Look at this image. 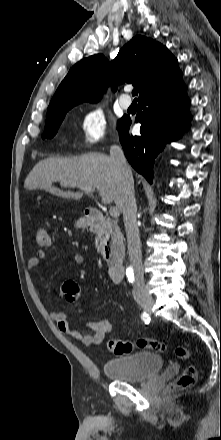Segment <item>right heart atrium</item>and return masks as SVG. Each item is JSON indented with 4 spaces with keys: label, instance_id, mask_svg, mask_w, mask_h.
I'll list each match as a JSON object with an SVG mask.
<instances>
[{
    "label": "right heart atrium",
    "instance_id": "obj_1",
    "mask_svg": "<svg viewBox=\"0 0 221 440\" xmlns=\"http://www.w3.org/2000/svg\"><path fill=\"white\" fill-rule=\"evenodd\" d=\"M108 119L102 109L94 107L85 111L79 120L82 142L90 147L103 141L107 135Z\"/></svg>",
    "mask_w": 221,
    "mask_h": 440
}]
</instances>
